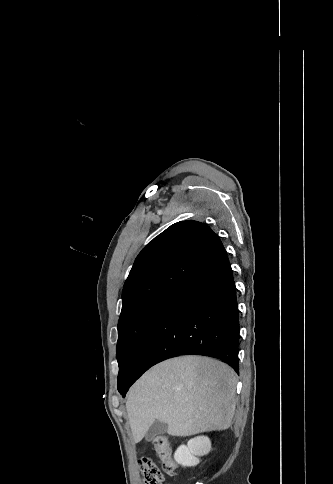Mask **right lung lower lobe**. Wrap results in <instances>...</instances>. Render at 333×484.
<instances>
[{
  "mask_svg": "<svg viewBox=\"0 0 333 484\" xmlns=\"http://www.w3.org/2000/svg\"><path fill=\"white\" fill-rule=\"evenodd\" d=\"M239 317L236 287L227 256L175 290L140 341L130 367L129 387L154 364L178 355L221 359L237 373Z\"/></svg>",
  "mask_w": 333,
  "mask_h": 484,
  "instance_id": "98d812e1",
  "label": "right lung lower lobe"
}]
</instances>
